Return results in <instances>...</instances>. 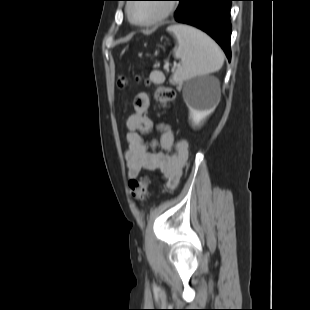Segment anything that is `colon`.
Listing matches in <instances>:
<instances>
[{
    "label": "colon",
    "instance_id": "1",
    "mask_svg": "<svg viewBox=\"0 0 310 310\" xmlns=\"http://www.w3.org/2000/svg\"><path fill=\"white\" fill-rule=\"evenodd\" d=\"M163 75L160 72H153L150 77L145 81L146 85H155V98L162 105H168L175 97V92L172 88L164 86ZM127 84L125 77L120 78L119 86L124 87ZM150 186V180L148 178L133 179L129 182V190L131 196L141 201L144 199Z\"/></svg>",
    "mask_w": 310,
    "mask_h": 310
}]
</instances>
